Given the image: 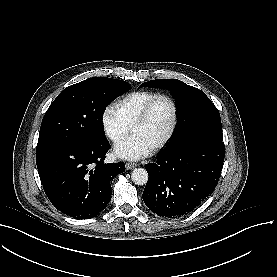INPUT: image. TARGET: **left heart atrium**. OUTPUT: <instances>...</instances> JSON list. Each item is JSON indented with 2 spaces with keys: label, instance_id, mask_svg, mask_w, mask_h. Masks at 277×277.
Segmentation results:
<instances>
[{
  "label": "left heart atrium",
  "instance_id": "39dd6f15",
  "mask_svg": "<svg viewBox=\"0 0 277 277\" xmlns=\"http://www.w3.org/2000/svg\"><path fill=\"white\" fill-rule=\"evenodd\" d=\"M117 149L121 156L135 160L145 159L151 154L149 144L140 136H125L118 142Z\"/></svg>",
  "mask_w": 277,
  "mask_h": 277
}]
</instances>
